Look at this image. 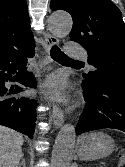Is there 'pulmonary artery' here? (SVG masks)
<instances>
[{"label":"pulmonary artery","mask_w":125,"mask_h":167,"mask_svg":"<svg viewBox=\"0 0 125 167\" xmlns=\"http://www.w3.org/2000/svg\"><path fill=\"white\" fill-rule=\"evenodd\" d=\"M66 53L67 56L75 59H81L85 56L84 51L80 49L74 41H68L66 43Z\"/></svg>","instance_id":"e3ab8cb5"}]
</instances>
